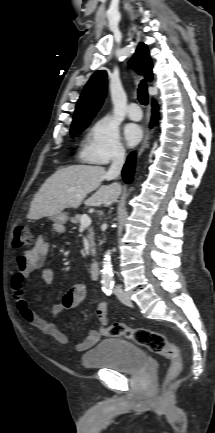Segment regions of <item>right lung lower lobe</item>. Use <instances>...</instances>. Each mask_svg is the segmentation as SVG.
<instances>
[{
	"label": "right lung lower lobe",
	"instance_id": "right-lung-lower-lobe-1",
	"mask_svg": "<svg viewBox=\"0 0 215 433\" xmlns=\"http://www.w3.org/2000/svg\"><path fill=\"white\" fill-rule=\"evenodd\" d=\"M152 106H153V116H152V120H151V127L157 123L158 120V106L157 103L155 101L152 102ZM136 157V153L132 152L129 157L127 158L126 164L124 165V168L122 170V176L124 181L127 184H130L133 180V173H134V164H135V158Z\"/></svg>",
	"mask_w": 215,
	"mask_h": 433
}]
</instances>
